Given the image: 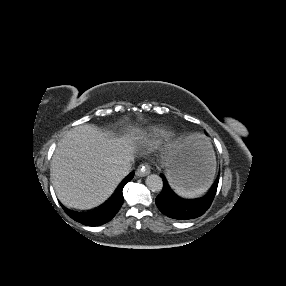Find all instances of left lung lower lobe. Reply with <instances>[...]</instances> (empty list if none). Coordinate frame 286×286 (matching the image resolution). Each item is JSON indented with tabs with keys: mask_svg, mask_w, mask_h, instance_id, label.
Returning <instances> with one entry per match:
<instances>
[{
	"mask_svg": "<svg viewBox=\"0 0 286 286\" xmlns=\"http://www.w3.org/2000/svg\"><path fill=\"white\" fill-rule=\"evenodd\" d=\"M163 177V190L156 197V205L159 210L174 219L188 220L203 215L210 207L218 186L219 176L210 191L203 197L197 199H183L177 196L169 187Z\"/></svg>",
	"mask_w": 286,
	"mask_h": 286,
	"instance_id": "obj_1",
	"label": "left lung lower lobe"
}]
</instances>
